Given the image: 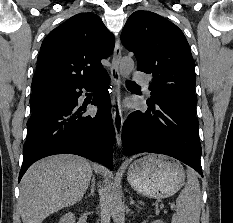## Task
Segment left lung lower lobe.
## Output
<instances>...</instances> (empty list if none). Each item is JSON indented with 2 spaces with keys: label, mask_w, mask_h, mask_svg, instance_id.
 <instances>
[{
  "label": "left lung lower lobe",
  "mask_w": 233,
  "mask_h": 223,
  "mask_svg": "<svg viewBox=\"0 0 233 223\" xmlns=\"http://www.w3.org/2000/svg\"><path fill=\"white\" fill-rule=\"evenodd\" d=\"M147 105V111L131 113L123 125L124 155L165 154L189 165L203 177L196 106L181 103Z\"/></svg>",
  "instance_id": "0a47b994"
}]
</instances>
